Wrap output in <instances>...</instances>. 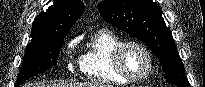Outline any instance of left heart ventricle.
<instances>
[{
	"instance_id": "1",
	"label": "left heart ventricle",
	"mask_w": 205,
	"mask_h": 87,
	"mask_svg": "<svg viewBox=\"0 0 205 87\" xmlns=\"http://www.w3.org/2000/svg\"><path fill=\"white\" fill-rule=\"evenodd\" d=\"M122 64L128 73L136 77L144 75L149 67L146 54L136 46H129L125 49Z\"/></svg>"
}]
</instances>
